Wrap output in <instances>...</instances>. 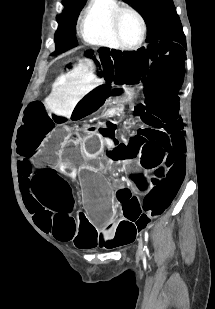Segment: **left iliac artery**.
Masks as SVG:
<instances>
[{
    "instance_id": "44dca946",
    "label": "left iliac artery",
    "mask_w": 215,
    "mask_h": 309,
    "mask_svg": "<svg viewBox=\"0 0 215 309\" xmlns=\"http://www.w3.org/2000/svg\"><path fill=\"white\" fill-rule=\"evenodd\" d=\"M148 237H149V235H148V232L145 230V241L147 242L148 241ZM146 253H148V248H147V246H144V249H143Z\"/></svg>"
}]
</instances>
